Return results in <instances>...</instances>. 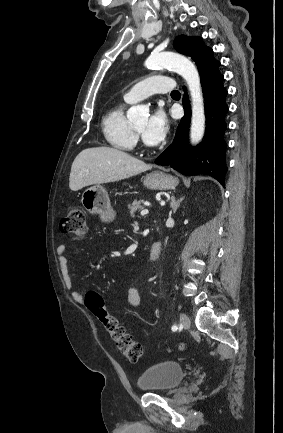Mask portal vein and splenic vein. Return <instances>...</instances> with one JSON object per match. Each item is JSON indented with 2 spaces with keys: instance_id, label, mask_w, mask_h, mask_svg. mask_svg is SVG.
Returning a JSON list of instances; mask_svg holds the SVG:
<instances>
[{
  "instance_id": "portal-vein-and-splenic-vein-1",
  "label": "portal vein and splenic vein",
  "mask_w": 283,
  "mask_h": 433,
  "mask_svg": "<svg viewBox=\"0 0 283 433\" xmlns=\"http://www.w3.org/2000/svg\"><path fill=\"white\" fill-rule=\"evenodd\" d=\"M148 212V208H143V210H141L142 217H144V214H148Z\"/></svg>"
}]
</instances>
